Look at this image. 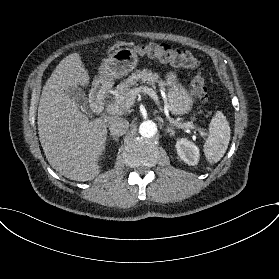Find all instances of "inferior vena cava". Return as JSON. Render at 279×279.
<instances>
[{"instance_id":"obj_1","label":"inferior vena cava","mask_w":279,"mask_h":279,"mask_svg":"<svg viewBox=\"0 0 279 279\" xmlns=\"http://www.w3.org/2000/svg\"><path fill=\"white\" fill-rule=\"evenodd\" d=\"M129 128V122L120 116H115L113 122L109 125V130L112 135L122 136Z\"/></svg>"}]
</instances>
